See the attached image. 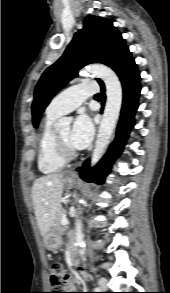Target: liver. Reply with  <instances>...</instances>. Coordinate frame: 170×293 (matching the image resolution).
<instances>
[{
	"label": "liver",
	"instance_id": "liver-1",
	"mask_svg": "<svg viewBox=\"0 0 170 293\" xmlns=\"http://www.w3.org/2000/svg\"><path fill=\"white\" fill-rule=\"evenodd\" d=\"M64 188V174L54 173L36 179L31 196L37 223L44 237L50 231L61 210V196Z\"/></svg>",
	"mask_w": 170,
	"mask_h": 293
}]
</instances>
